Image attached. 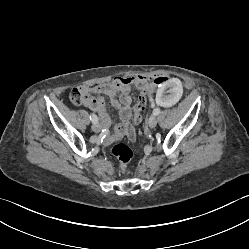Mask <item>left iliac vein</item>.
Masks as SVG:
<instances>
[{
	"label": "left iliac vein",
	"mask_w": 249,
	"mask_h": 249,
	"mask_svg": "<svg viewBox=\"0 0 249 249\" xmlns=\"http://www.w3.org/2000/svg\"><path fill=\"white\" fill-rule=\"evenodd\" d=\"M157 125V118L155 116H151L148 121V126L150 128H154Z\"/></svg>",
	"instance_id": "1"
}]
</instances>
